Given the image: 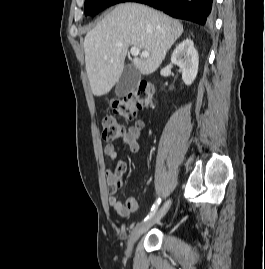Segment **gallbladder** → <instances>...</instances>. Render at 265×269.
Masks as SVG:
<instances>
[{"label":"gallbladder","instance_id":"bac80fb5","mask_svg":"<svg viewBox=\"0 0 265 269\" xmlns=\"http://www.w3.org/2000/svg\"><path fill=\"white\" fill-rule=\"evenodd\" d=\"M139 79L140 73L134 66H125L122 75L116 84V96L120 98L128 95L130 92H133L137 87Z\"/></svg>","mask_w":265,"mask_h":269}]
</instances>
